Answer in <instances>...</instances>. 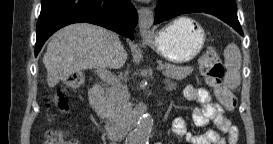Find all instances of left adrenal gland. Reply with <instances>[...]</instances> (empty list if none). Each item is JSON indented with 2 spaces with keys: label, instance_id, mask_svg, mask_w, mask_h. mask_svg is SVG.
Wrapping results in <instances>:
<instances>
[{
  "label": "left adrenal gland",
  "instance_id": "left-adrenal-gland-1",
  "mask_svg": "<svg viewBox=\"0 0 273 144\" xmlns=\"http://www.w3.org/2000/svg\"><path fill=\"white\" fill-rule=\"evenodd\" d=\"M165 83L167 84L166 90H172L175 88V85L172 82L166 80Z\"/></svg>",
  "mask_w": 273,
  "mask_h": 144
}]
</instances>
